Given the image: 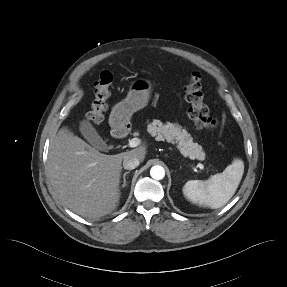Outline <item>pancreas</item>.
Masks as SVG:
<instances>
[{"mask_svg":"<svg viewBox=\"0 0 287 287\" xmlns=\"http://www.w3.org/2000/svg\"><path fill=\"white\" fill-rule=\"evenodd\" d=\"M147 131L156 137V140H166L170 143H176L177 148L181 154L190 159H205V152L198 143L193 142V138L190 134L177 123L167 122L163 124L160 120H153L147 125Z\"/></svg>","mask_w":287,"mask_h":287,"instance_id":"1","label":"pancreas"}]
</instances>
